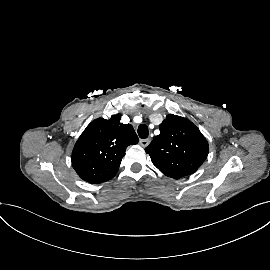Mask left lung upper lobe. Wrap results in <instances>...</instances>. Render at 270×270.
<instances>
[{"label": "left lung upper lobe", "instance_id": "left-lung-upper-lobe-1", "mask_svg": "<svg viewBox=\"0 0 270 270\" xmlns=\"http://www.w3.org/2000/svg\"><path fill=\"white\" fill-rule=\"evenodd\" d=\"M160 134L145 148L152 163L166 176L180 179L194 173L208 155V143L186 118L169 114L159 125Z\"/></svg>", "mask_w": 270, "mask_h": 270}]
</instances>
